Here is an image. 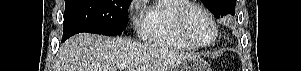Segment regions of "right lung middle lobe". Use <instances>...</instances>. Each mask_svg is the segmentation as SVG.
I'll return each instance as SVG.
<instances>
[{
  "label": "right lung middle lobe",
  "instance_id": "dd1d6c3e",
  "mask_svg": "<svg viewBox=\"0 0 301 71\" xmlns=\"http://www.w3.org/2000/svg\"><path fill=\"white\" fill-rule=\"evenodd\" d=\"M131 0H65L63 40L89 32L118 35L127 26Z\"/></svg>",
  "mask_w": 301,
  "mask_h": 71
}]
</instances>
